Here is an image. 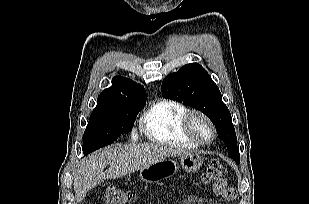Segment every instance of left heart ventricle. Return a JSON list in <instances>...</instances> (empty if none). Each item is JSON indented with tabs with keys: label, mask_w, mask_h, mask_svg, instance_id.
<instances>
[{
	"label": "left heart ventricle",
	"mask_w": 309,
	"mask_h": 204,
	"mask_svg": "<svg viewBox=\"0 0 309 204\" xmlns=\"http://www.w3.org/2000/svg\"><path fill=\"white\" fill-rule=\"evenodd\" d=\"M192 128L195 135L203 140L207 141L211 137V131L208 124L200 117H195L192 121Z\"/></svg>",
	"instance_id": "left-heart-ventricle-1"
}]
</instances>
